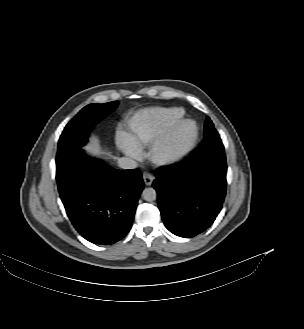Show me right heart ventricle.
<instances>
[{
  "label": "right heart ventricle",
  "mask_w": 304,
  "mask_h": 329,
  "mask_svg": "<svg viewBox=\"0 0 304 329\" xmlns=\"http://www.w3.org/2000/svg\"><path fill=\"white\" fill-rule=\"evenodd\" d=\"M184 116L178 107L158 108L138 113L131 121V137L140 147H146L164 136Z\"/></svg>",
  "instance_id": "obj_1"
}]
</instances>
